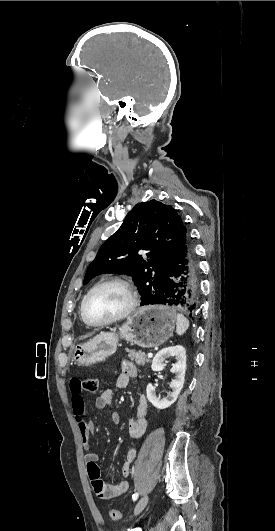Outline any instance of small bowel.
<instances>
[{
    "label": "small bowel",
    "mask_w": 275,
    "mask_h": 531,
    "mask_svg": "<svg viewBox=\"0 0 275 531\" xmlns=\"http://www.w3.org/2000/svg\"><path fill=\"white\" fill-rule=\"evenodd\" d=\"M137 376L136 366L127 360L121 362V372L117 376L113 387L106 388L100 392L96 398V407L100 410H110V418L113 423L120 422V414L117 410L112 409V402L116 390L124 389L129 385L130 379ZM82 376L80 373H70L68 382L70 392L73 396L71 399L72 410L79 428L80 436L86 448L84 459L88 477L91 481L92 489L96 496L102 500H112L127 492L129 483L122 480L116 484H106L101 478L100 468L98 466V453L90 449V439L95 433L94 425L86 417V410L83 398L80 396L83 392L81 385ZM78 397V398H77ZM148 427V401L144 394L140 395L135 416L129 422V435L132 438L142 437ZM137 458V451L129 448L125 452L121 466V474L128 478L131 474V465Z\"/></svg>",
    "instance_id": "c3829d8e"
}]
</instances>
